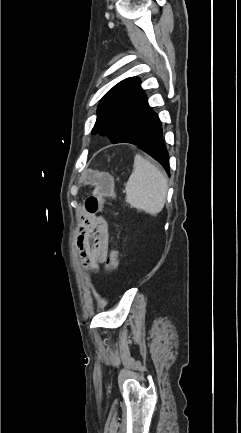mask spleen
Instances as JSON below:
<instances>
[{
  "label": "spleen",
  "mask_w": 241,
  "mask_h": 433,
  "mask_svg": "<svg viewBox=\"0 0 241 433\" xmlns=\"http://www.w3.org/2000/svg\"><path fill=\"white\" fill-rule=\"evenodd\" d=\"M133 168L125 186L126 201L138 210L157 215L166 202L168 190L166 176L158 167L139 154L134 158Z\"/></svg>",
  "instance_id": "1"
}]
</instances>
